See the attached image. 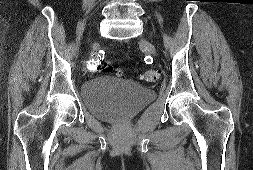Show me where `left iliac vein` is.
I'll use <instances>...</instances> for the list:
<instances>
[{"label":"left iliac vein","mask_w":253,"mask_h":170,"mask_svg":"<svg viewBox=\"0 0 253 170\" xmlns=\"http://www.w3.org/2000/svg\"><path fill=\"white\" fill-rule=\"evenodd\" d=\"M141 44H145V42L142 41ZM148 51H149V53H151L152 55H156V49H155V47H154L153 45H149V46H148Z\"/></svg>","instance_id":"1"}]
</instances>
